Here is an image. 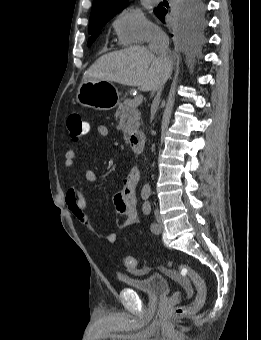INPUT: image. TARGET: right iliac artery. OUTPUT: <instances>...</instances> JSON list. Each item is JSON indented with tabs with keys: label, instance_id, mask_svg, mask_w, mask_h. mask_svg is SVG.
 <instances>
[{
	"label": "right iliac artery",
	"instance_id": "obj_1",
	"mask_svg": "<svg viewBox=\"0 0 261 340\" xmlns=\"http://www.w3.org/2000/svg\"><path fill=\"white\" fill-rule=\"evenodd\" d=\"M148 196H149V195H148L147 193H143V194H142V198H143L144 200H146V199L148 198Z\"/></svg>",
	"mask_w": 261,
	"mask_h": 340
}]
</instances>
